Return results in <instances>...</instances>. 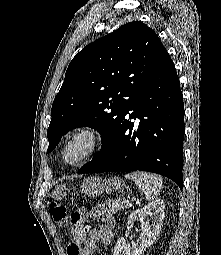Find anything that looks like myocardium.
I'll return each mask as SVG.
<instances>
[{
	"label": "myocardium",
	"instance_id": "f54148a6",
	"mask_svg": "<svg viewBox=\"0 0 221 255\" xmlns=\"http://www.w3.org/2000/svg\"><path fill=\"white\" fill-rule=\"evenodd\" d=\"M84 138L88 142L86 152L76 161L71 162L67 159L66 153L68 147L77 139ZM101 143L100 132L93 126H84L75 130L65 141L62 149V158L65 163L71 166H78L89 159L98 149Z\"/></svg>",
	"mask_w": 221,
	"mask_h": 255
}]
</instances>
